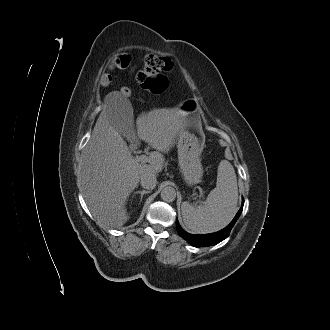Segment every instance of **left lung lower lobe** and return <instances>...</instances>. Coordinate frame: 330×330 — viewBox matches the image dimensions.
Returning a JSON list of instances; mask_svg holds the SVG:
<instances>
[{
  "label": "left lung lower lobe",
  "instance_id": "1",
  "mask_svg": "<svg viewBox=\"0 0 330 330\" xmlns=\"http://www.w3.org/2000/svg\"><path fill=\"white\" fill-rule=\"evenodd\" d=\"M243 204H244V200L242 201V206L240 210L237 212L234 219L230 222L228 226H226L223 230L219 232L204 234V235L189 234L181 228V226L178 223V220L176 221L177 231L181 237H183L189 244L195 247H205V246L218 244L219 242L223 241L229 236L231 229L233 228L234 224L236 223L237 219L239 218L243 210Z\"/></svg>",
  "mask_w": 330,
  "mask_h": 330
}]
</instances>
